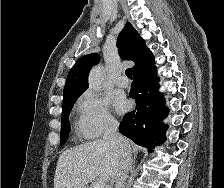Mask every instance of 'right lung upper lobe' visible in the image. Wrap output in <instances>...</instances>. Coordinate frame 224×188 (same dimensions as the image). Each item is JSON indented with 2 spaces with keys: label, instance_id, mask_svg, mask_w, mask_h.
I'll return each instance as SVG.
<instances>
[{
  "label": "right lung upper lobe",
  "instance_id": "obj_1",
  "mask_svg": "<svg viewBox=\"0 0 224 188\" xmlns=\"http://www.w3.org/2000/svg\"><path fill=\"white\" fill-rule=\"evenodd\" d=\"M119 54L124 60L135 62L133 73L153 62V54L146 47L145 41L128 22L120 32L117 40ZM96 53L81 57L68 73L64 87V98L84 92L88 88V74L93 65L98 62ZM63 98V99H64Z\"/></svg>",
  "mask_w": 224,
  "mask_h": 188
}]
</instances>
